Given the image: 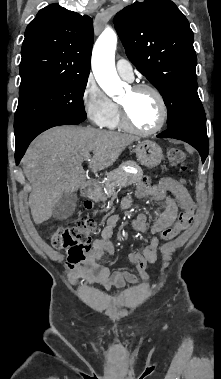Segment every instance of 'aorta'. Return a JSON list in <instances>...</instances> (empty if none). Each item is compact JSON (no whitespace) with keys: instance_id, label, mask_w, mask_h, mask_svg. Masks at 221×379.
I'll return each instance as SVG.
<instances>
[{"instance_id":"obj_1","label":"aorta","mask_w":221,"mask_h":379,"mask_svg":"<svg viewBox=\"0 0 221 379\" xmlns=\"http://www.w3.org/2000/svg\"><path fill=\"white\" fill-rule=\"evenodd\" d=\"M116 33L107 28L97 39L92 53V70L103 91L113 99L123 92L115 68Z\"/></svg>"}]
</instances>
